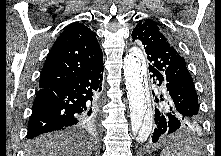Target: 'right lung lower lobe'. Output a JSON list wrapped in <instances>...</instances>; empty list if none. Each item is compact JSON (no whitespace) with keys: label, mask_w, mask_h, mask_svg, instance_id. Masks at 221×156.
I'll return each mask as SVG.
<instances>
[{"label":"right lung lower lobe","mask_w":221,"mask_h":156,"mask_svg":"<svg viewBox=\"0 0 221 156\" xmlns=\"http://www.w3.org/2000/svg\"><path fill=\"white\" fill-rule=\"evenodd\" d=\"M103 64L52 88L39 89L27 138L60 129L94 127V106L101 99Z\"/></svg>","instance_id":"98d812e1"}]
</instances>
